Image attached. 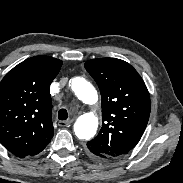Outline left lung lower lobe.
<instances>
[{"mask_svg":"<svg viewBox=\"0 0 183 183\" xmlns=\"http://www.w3.org/2000/svg\"><path fill=\"white\" fill-rule=\"evenodd\" d=\"M88 154H89L92 158H94V159H96V160H98V161H107V160L112 159V158L109 157V156H106V155H104V154L98 153V152L93 151V150H91V151L88 150Z\"/></svg>","mask_w":183,"mask_h":183,"instance_id":"1","label":"left lung lower lobe"}]
</instances>
